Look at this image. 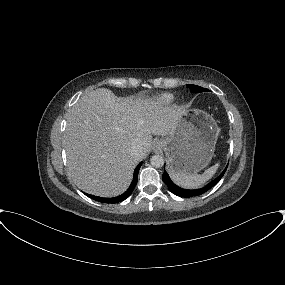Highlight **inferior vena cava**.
Instances as JSON below:
<instances>
[{
  "mask_svg": "<svg viewBox=\"0 0 285 285\" xmlns=\"http://www.w3.org/2000/svg\"><path fill=\"white\" fill-rule=\"evenodd\" d=\"M141 151H142V147L138 143H136V142L132 143V145L130 147V152L134 156L138 157L140 155Z\"/></svg>",
  "mask_w": 285,
  "mask_h": 285,
  "instance_id": "inferior-vena-cava-1",
  "label": "inferior vena cava"
}]
</instances>
